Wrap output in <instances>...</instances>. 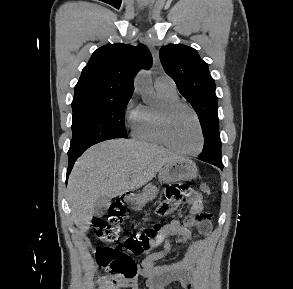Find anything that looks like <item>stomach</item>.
I'll return each mask as SVG.
<instances>
[{"mask_svg":"<svg viewBox=\"0 0 293 289\" xmlns=\"http://www.w3.org/2000/svg\"><path fill=\"white\" fill-rule=\"evenodd\" d=\"M198 176L196 164L186 158H180L167 163L159 171V179L164 183H173L178 181H189ZM158 189L152 184L147 185L143 194L130 199V203L135 210H139L147 200L156 197Z\"/></svg>","mask_w":293,"mask_h":289,"instance_id":"obj_1","label":"stomach"}]
</instances>
